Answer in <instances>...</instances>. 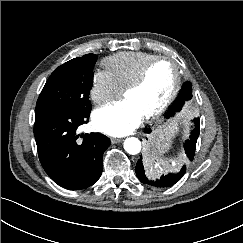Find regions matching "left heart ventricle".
<instances>
[{
  "instance_id": "obj_1",
  "label": "left heart ventricle",
  "mask_w": 243,
  "mask_h": 243,
  "mask_svg": "<svg viewBox=\"0 0 243 243\" xmlns=\"http://www.w3.org/2000/svg\"><path fill=\"white\" fill-rule=\"evenodd\" d=\"M174 81L173 64L169 61H160L151 68L142 86L129 91L125 98L131 100L146 116L166 100L173 88Z\"/></svg>"
}]
</instances>
